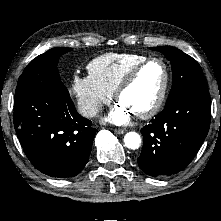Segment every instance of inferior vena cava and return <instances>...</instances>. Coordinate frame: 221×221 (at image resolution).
Returning <instances> with one entry per match:
<instances>
[{
  "label": "inferior vena cava",
  "mask_w": 221,
  "mask_h": 221,
  "mask_svg": "<svg viewBox=\"0 0 221 221\" xmlns=\"http://www.w3.org/2000/svg\"><path fill=\"white\" fill-rule=\"evenodd\" d=\"M101 111V106L93 103H82L79 106V112L84 117H94L97 113Z\"/></svg>",
  "instance_id": "inferior-vena-cava-1"
}]
</instances>
